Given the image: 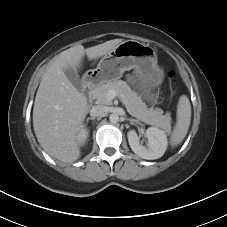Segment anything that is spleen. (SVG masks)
<instances>
[{
	"label": "spleen",
	"mask_w": 227,
	"mask_h": 227,
	"mask_svg": "<svg viewBox=\"0 0 227 227\" xmlns=\"http://www.w3.org/2000/svg\"><path fill=\"white\" fill-rule=\"evenodd\" d=\"M191 121V105L188 97L182 95L177 106V121L171 133L170 144L172 147L179 145L185 138Z\"/></svg>",
	"instance_id": "spleen-1"
}]
</instances>
